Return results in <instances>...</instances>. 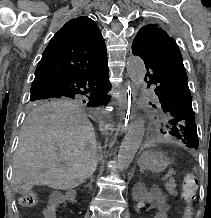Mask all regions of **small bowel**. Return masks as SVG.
Listing matches in <instances>:
<instances>
[{
    "label": "small bowel",
    "instance_id": "1",
    "mask_svg": "<svg viewBox=\"0 0 211 218\" xmlns=\"http://www.w3.org/2000/svg\"><path fill=\"white\" fill-rule=\"evenodd\" d=\"M153 210L152 218H167L166 217V206L162 202H157L151 205ZM44 218H56L57 217V207L55 205H50L43 212Z\"/></svg>",
    "mask_w": 211,
    "mask_h": 218
}]
</instances>
